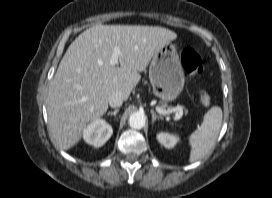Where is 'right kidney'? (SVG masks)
<instances>
[{
	"instance_id": "obj_1",
	"label": "right kidney",
	"mask_w": 272,
	"mask_h": 198,
	"mask_svg": "<svg viewBox=\"0 0 272 198\" xmlns=\"http://www.w3.org/2000/svg\"><path fill=\"white\" fill-rule=\"evenodd\" d=\"M113 133L112 126L103 119H96L91 122L83 131V138L86 143L94 147L103 146Z\"/></svg>"
}]
</instances>
